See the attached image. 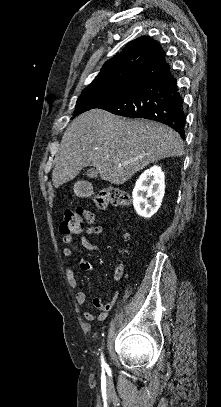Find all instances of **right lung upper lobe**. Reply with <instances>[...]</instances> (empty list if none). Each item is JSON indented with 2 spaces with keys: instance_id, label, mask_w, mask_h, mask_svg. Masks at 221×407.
Instances as JSON below:
<instances>
[{
  "instance_id": "1",
  "label": "right lung upper lobe",
  "mask_w": 221,
  "mask_h": 407,
  "mask_svg": "<svg viewBox=\"0 0 221 407\" xmlns=\"http://www.w3.org/2000/svg\"><path fill=\"white\" fill-rule=\"evenodd\" d=\"M168 67L161 45L148 36H142L129 42L121 52L105 62L87 88L142 85Z\"/></svg>"
}]
</instances>
